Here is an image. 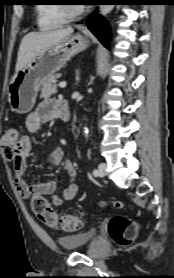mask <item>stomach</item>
Here are the masks:
<instances>
[{
	"label": "stomach",
	"mask_w": 174,
	"mask_h": 278,
	"mask_svg": "<svg viewBox=\"0 0 174 278\" xmlns=\"http://www.w3.org/2000/svg\"><path fill=\"white\" fill-rule=\"evenodd\" d=\"M88 45L86 36L70 35L34 57L22 70L15 73L8 86L11 111L19 114L30 112L43 83Z\"/></svg>",
	"instance_id": "obj_1"
}]
</instances>
